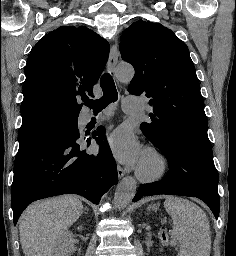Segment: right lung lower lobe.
<instances>
[{
  "label": "right lung lower lobe",
  "instance_id": "right-lung-lower-lobe-1",
  "mask_svg": "<svg viewBox=\"0 0 236 256\" xmlns=\"http://www.w3.org/2000/svg\"><path fill=\"white\" fill-rule=\"evenodd\" d=\"M104 134L100 126L92 135L101 145L98 154L87 152L91 138L83 140L79 134L53 136L19 150L11 188L14 225L23 210L39 199L72 193L99 203L102 195L118 183L115 160L102 141Z\"/></svg>",
  "mask_w": 236,
  "mask_h": 256
}]
</instances>
